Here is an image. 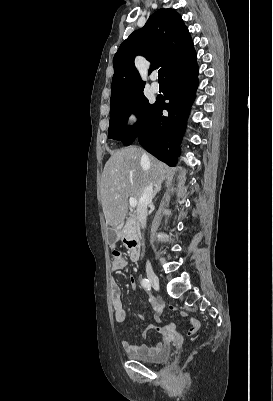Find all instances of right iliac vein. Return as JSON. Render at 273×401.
Listing matches in <instances>:
<instances>
[{"label": "right iliac vein", "instance_id": "right-iliac-vein-1", "mask_svg": "<svg viewBox=\"0 0 273 401\" xmlns=\"http://www.w3.org/2000/svg\"><path fill=\"white\" fill-rule=\"evenodd\" d=\"M146 272H147V277H148L150 283L152 284V286L155 289L158 290L159 289V279H158L157 275L155 274V272L153 271V269L151 267H147Z\"/></svg>", "mask_w": 273, "mask_h": 401}]
</instances>
